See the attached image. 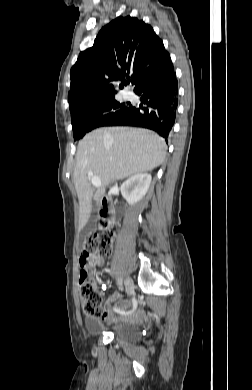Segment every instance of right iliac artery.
<instances>
[{
	"instance_id": "1",
	"label": "right iliac artery",
	"mask_w": 252,
	"mask_h": 390,
	"mask_svg": "<svg viewBox=\"0 0 252 390\" xmlns=\"http://www.w3.org/2000/svg\"><path fill=\"white\" fill-rule=\"evenodd\" d=\"M131 304H132V308L130 309V312H131V315H134V313H136L139 310L138 299L137 298H132L131 299ZM114 310L117 311V313L120 316L128 315V312L122 311L121 309L117 310L116 308H114Z\"/></svg>"
}]
</instances>
